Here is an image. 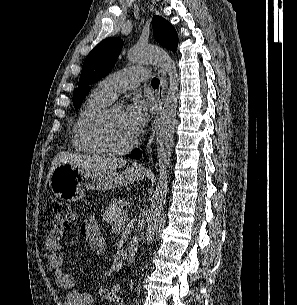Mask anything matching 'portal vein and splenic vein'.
Wrapping results in <instances>:
<instances>
[{
  "instance_id": "portal-vein-and-splenic-vein-1",
  "label": "portal vein and splenic vein",
  "mask_w": 297,
  "mask_h": 305,
  "mask_svg": "<svg viewBox=\"0 0 297 305\" xmlns=\"http://www.w3.org/2000/svg\"><path fill=\"white\" fill-rule=\"evenodd\" d=\"M127 212H128V211L126 210V211H125V215H127ZM120 225H121V224H120Z\"/></svg>"
}]
</instances>
